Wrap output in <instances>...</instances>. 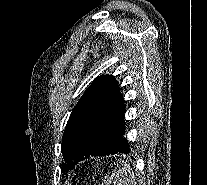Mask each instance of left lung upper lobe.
Returning <instances> with one entry per match:
<instances>
[{"mask_svg": "<svg viewBox=\"0 0 207 185\" xmlns=\"http://www.w3.org/2000/svg\"><path fill=\"white\" fill-rule=\"evenodd\" d=\"M115 77H97L72 110L62 138L65 163L70 170L84 155L107 147L124 119L125 104Z\"/></svg>", "mask_w": 207, "mask_h": 185, "instance_id": "obj_1", "label": "left lung upper lobe"}]
</instances>
